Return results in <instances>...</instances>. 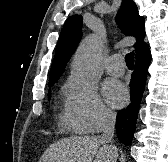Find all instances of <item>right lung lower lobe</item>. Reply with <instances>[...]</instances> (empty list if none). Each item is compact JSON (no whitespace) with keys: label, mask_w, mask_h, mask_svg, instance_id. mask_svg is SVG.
<instances>
[{"label":"right lung lower lobe","mask_w":168,"mask_h":162,"mask_svg":"<svg viewBox=\"0 0 168 162\" xmlns=\"http://www.w3.org/2000/svg\"><path fill=\"white\" fill-rule=\"evenodd\" d=\"M150 52L136 58V65L130 82L131 103L122 109L116 119V132L118 139L125 145H130L135 132L140 101L145 89L147 70L150 63Z\"/></svg>","instance_id":"98d812e1"}]
</instances>
